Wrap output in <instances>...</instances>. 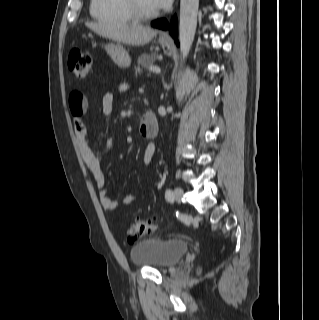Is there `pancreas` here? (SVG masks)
Listing matches in <instances>:
<instances>
[{"label":"pancreas","instance_id":"obj_1","mask_svg":"<svg viewBox=\"0 0 319 320\" xmlns=\"http://www.w3.org/2000/svg\"><path fill=\"white\" fill-rule=\"evenodd\" d=\"M158 59V56L156 53L152 54H143L138 58L137 61V67H135L136 73H141L142 68H150L154 65L155 61Z\"/></svg>","mask_w":319,"mask_h":320}]
</instances>
